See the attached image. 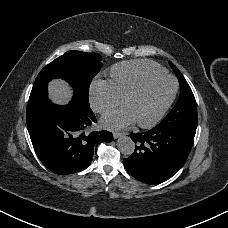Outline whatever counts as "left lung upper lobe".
Listing matches in <instances>:
<instances>
[{"instance_id": "left-lung-upper-lobe-1", "label": "left lung upper lobe", "mask_w": 228, "mask_h": 228, "mask_svg": "<svg viewBox=\"0 0 228 228\" xmlns=\"http://www.w3.org/2000/svg\"><path fill=\"white\" fill-rule=\"evenodd\" d=\"M171 68L175 72L180 83V96L169 114L158 124L161 127H189L197 128V105L193 92L178 70V68L170 63Z\"/></svg>"}]
</instances>
